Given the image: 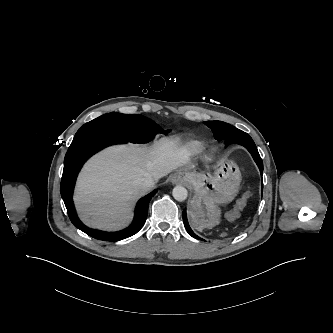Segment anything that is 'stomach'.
Instances as JSON below:
<instances>
[{
    "mask_svg": "<svg viewBox=\"0 0 333 333\" xmlns=\"http://www.w3.org/2000/svg\"><path fill=\"white\" fill-rule=\"evenodd\" d=\"M183 181L193 190L189 217L196 229L212 228L219 223V204L231 202L237 195L241 173L235 161L223 157L217 161L212 174L180 170Z\"/></svg>",
    "mask_w": 333,
    "mask_h": 333,
    "instance_id": "1",
    "label": "stomach"
}]
</instances>
